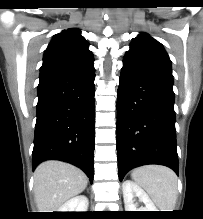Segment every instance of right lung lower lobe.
<instances>
[{"label":"right lung lower lobe","instance_id":"98d812e1","mask_svg":"<svg viewBox=\"0 0 203 219\" xmlns=\"http://www.w3.org/2000/svg\"><path fill=\"white\" fill-rule=\"evenodd\" d=\"M94 78L93 60L40 71L33 169L56 159L81 168L93 181Z\"/></svg>","mask_w":203,"mask_h":219}]
</instances>
